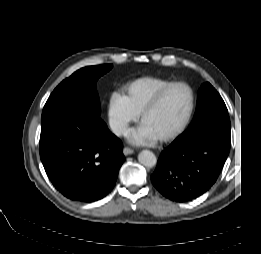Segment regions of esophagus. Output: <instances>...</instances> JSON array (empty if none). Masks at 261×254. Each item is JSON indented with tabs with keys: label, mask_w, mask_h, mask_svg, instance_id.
<instances>
[{
	"label": "esophagus",
	"mask_w": 261,
	"mask_h": 254,
	"mask_svg": "<svg viewBox=\"0 0 261 254\" xmlns=\"http://www.w3.org/2000/svg\"><path fill=\"white\" fill-rule=\"evenodd\" d=\"M123 153H124L125 156H127V155H130V154H133V153H134V150H132V149H130V148H128V147H125V148L123 149Z\"/></svg>",
	"instance_id": "esophagus-1"
}]
</instances>
